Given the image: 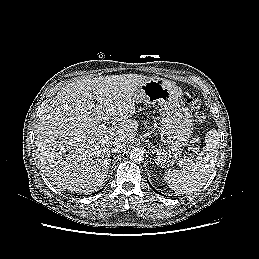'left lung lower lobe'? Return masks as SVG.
Masks as SVG:
<instances>
[{"label": "left lung lower lobe", "mask_w": 259, "mask_h": 259, "mask_svg": "<svg viewBox=\"0 0 259 259\" xmlns=\"http://www.w3.org/2000/svg\"><path fill=\"white\" fill-rule=\"evenodd\" d=\"M148 181V180H147ZM149 183V182H148ZM150 185V184H149ZM151 186V185H150ZM151 188L155 191V192H157L152 186H151ZM157 193H159V192H157ZM160 194V193H159ZM162 195V194H161Z\"/></svg>", "instance_id": "left-lung-lower-lobe-1"}]
</instances>
